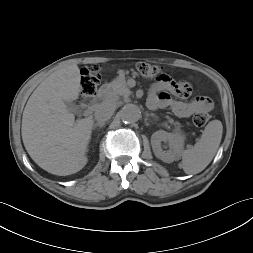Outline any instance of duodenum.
I'll return each instance as SVG.
<instances>
[{
	"instance_id": "obj_1",
	"label": "duodenum",
	"mask_w": 253,
	"mask_h": 253,
	"mask_svg": "<svg viewBox=\"0 0 253 253\" xmlns=\"http://www.w3.org/2000/svg\"><path fill=\"white\" fill-rule=\"evenodd\" d=\"M105 94V91L103 90V89H101L100 91H99V96H103Z\"/></svg>"
}]
</instances>
